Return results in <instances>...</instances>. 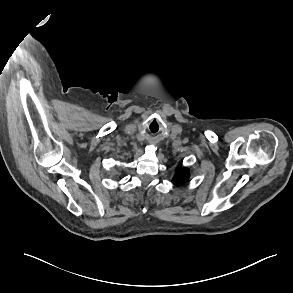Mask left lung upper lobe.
Instances as JSON below:
<instances>
[{
  "label": "left lung upper lobe",
  "mask_w": 293,
  "mask_h": 293,
  "mask_svg": "<svg viewBox=\"0 0 293 293\" xmlns=\"http://www.w3.org/2000/svg\"><path fill=\"white\" fill-rule=\"evenodd\" d=\"M189 178V171L186 168L179 166L176 170V173L172 179V182L175 185H181L185 183Z\"/></svg>",
  "instance_id": "left-lung-upper-lobe-1"
}]
</instances>
